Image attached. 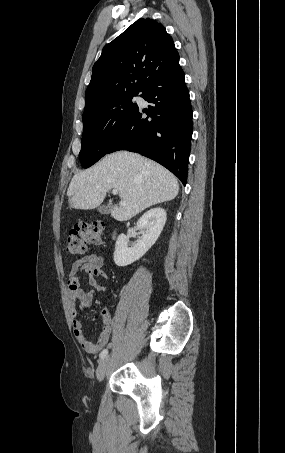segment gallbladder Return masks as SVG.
I'll use <instances>...</instances> for the list:
<instances>
[{
    "mask_svg": "<svg viewBox=\"0 0 285 453\" xmlns=\"http://www.w3.org/2000/svg\"><path fill=\"white\" fill-rule=\"evenodd\" d=\"M110 210H111V207H110V206H105V205L100 206V207L98 208V211H99L101 214H106V213H108Z\"/></svg>",
    "mask_w": 285,
    "mask_h": 453,
    "instance_id": "gallbladder-1",
    "label": "gallbladder"
}]
</instances>
